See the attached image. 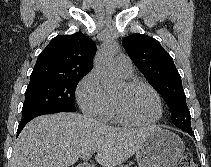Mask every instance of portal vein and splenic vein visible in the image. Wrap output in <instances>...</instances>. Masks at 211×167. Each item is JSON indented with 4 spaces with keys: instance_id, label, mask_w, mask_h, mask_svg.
<instances>
[{
    "instance_id": "18ae733b",
    "label": "portal vein and splenic vein",
    "mask_w": 211,
    "mask_h": 167,
    "mask_svg": "<svg viewBox=\"0 0 211 167\" xmlns=\"http://www.w3.org/2000/svg\"><path fill=\"white\" fill-rule=\"evenodd\" d=\"M91 157H92V153L91 152H87V153H84L82 155V159L83 160H89Z\"/></svg>"
}]
</instances>
